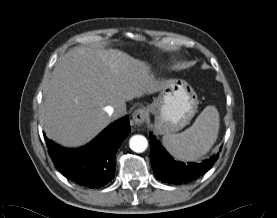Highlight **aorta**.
<instances>
[{"label": "aorta", "mask_w": 277, "mask_h": 218, "mask_svg": "<svg viewBox=\"0 0 277 218\" xmlns=\"http://www.w3.org/2000/svg\"><path fill=\"white\" fill-rule=\"evenodd\" d=\"M129 145L134 152L142 153L146 150L148 142L144 136L134 135L130 138Z\"/></svg>", "instance_id": "obj_1"}]
</instances>
